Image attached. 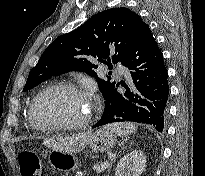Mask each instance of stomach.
Wrapping results in <instances>:
<instances>
[{
  "mask_svg": "<svg viewBox=\"0 0 205 176\" xmlns=\"http://www.w3.org/2000/svg\"><path fill=\"white\" fill-rule=\"evenodd\" d=\"M116 144V136L106 127L91 134L89 145L93 152L104 153L110 151ZM50 165L59 171L70 172L78 167V159L74 153L52 150L49 153Z\"/></svg>",
  "mask_w": 205,
  "mask_h": 176,
  "instance_id": "1",
  "label": "stomach"
}]
</instances>
